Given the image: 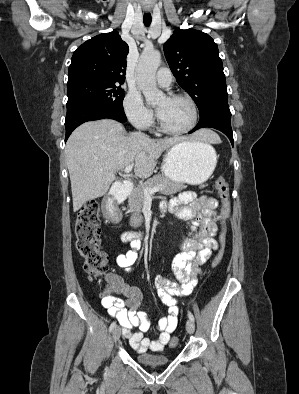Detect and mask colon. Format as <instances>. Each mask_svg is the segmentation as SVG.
<instances>
[{
    "mask_svg": "<svg viewBox=\"0 0 299 394\" xmlns=\"http://www.w3.org/2000/svg\"><path fill=\"white\" fill-rule=\"evenodd\" d=\"M216 189L221 201V231L219 235L220 247L213 260V267L218 266L223 258L226 231L225 221L231 212V201L229 185L223 177L216 180ZM76 248L83 259L84 271L94 277L103 278L108 283V290L115 291L117 279L109 274L107 254L100 249V221H99V201L97 198L90 199L78 212L75 222ZM109 297L107 292L102 294ZM177 339H172L170 345L175 346Z\"/></svg>",
    "mask_w": 299,
    "mask_h": 394,
    "instance_id": "colon-1",
    "label": "colon"
}]
</instances>
